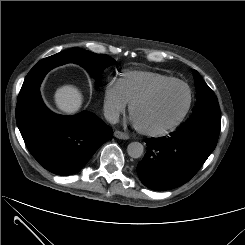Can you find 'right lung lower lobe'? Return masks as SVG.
<instances>
[{"label":"right lung lower lobe","mask_w":245,"mask_h":245,"mask_svg":"<svg viewBox=\"0 0 245 245\" xmlns=\"http://www.w3.org/2000/svg\"><path fill=\"white\" fill-rule=\"evenodd\" d=\"M16 121L33 157L58 175L78 172L112 136V129L91 112L83 111L75 116L51 112L39 90L17 103Z\"/></svg>","instance_id":"1"}]
</instances>
